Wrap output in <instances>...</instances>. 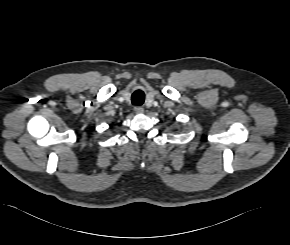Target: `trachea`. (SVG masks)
I'll use <instances>...</instances> for the list:
<instances>
[{
	"mask_svg": "<svg viewBox=\"0 0 290 245\" xmlns=\"http://www.w3.org/2000/svg\"><path fill=\"white\" fill-rule=\"evenodd\" d=\"M143 102H144V93L142 91H136L132 95V103L134 105H142Z\"/></svg>",
	"mask_w": 290,
	"mask_h": 245,
	"instance_id": "obj_1",
	"label": "trachea"
}]
</instances>
